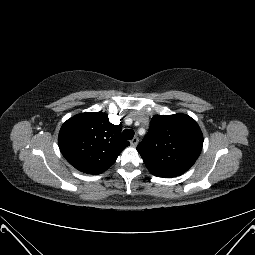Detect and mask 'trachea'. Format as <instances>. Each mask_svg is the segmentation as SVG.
<instances>
[{
  "label": "trachea",
  "mask_w": 255,
  "mask_h": 255,
  "mask_svg": "<svg viewBox=\"0 0 255 255\" xmlns=\"http://www.w3.org/2000/svg\"><path fill=\"white\" fill-rule=\"evenodd\" d=\"M122 136L126 140H131L134 137V131L130 129H125L122 133Z\"/></svg>",
  "instance_id": "trachea-1"
}]
</instances>
